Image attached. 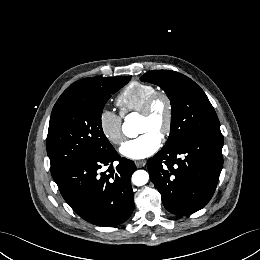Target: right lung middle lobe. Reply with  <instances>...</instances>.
Listing matches in <instances>:
<instances>
[{
  "mask_svg": "<svg viewBox=\"0 0 260 260\" xmlns=\"http://www.w3.org/2000/svg\"><path fill=\"white\" fill-rule=\"evenodd\" d=\"M130 79L109 78L86 97L53 108L47 136L52 176L77 159L99 157L113 150L102 130L101 114L111 94Z\"/></svg>",
  "mask_w": 260,
  "mask_h": 260,
  "instance_id": "right-lung-middle-lobe-1",
  "label": "right lung middle lobe"
}]
</instances>
